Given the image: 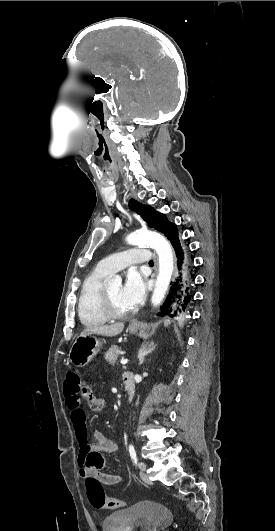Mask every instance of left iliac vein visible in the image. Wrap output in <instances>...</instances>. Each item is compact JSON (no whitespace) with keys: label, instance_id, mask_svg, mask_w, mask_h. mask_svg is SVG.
<instances>
[{"label":"left iliac vein","instance_id":"4c4485c4","mask_svg":"<svg viewBox=\"0 0 275 531\" xmlns=\"http://www.w3.org/2000/svg\"><path fill=\"white\" fill-rule=\"evenodd\" d=\"M138 467L140 469V477L143 480V482L150 484L151 480L147 473H145L146 470V464L144 462H139Z\"/></svg>","mask_w":275,"mask_h":531}]
</instances>
